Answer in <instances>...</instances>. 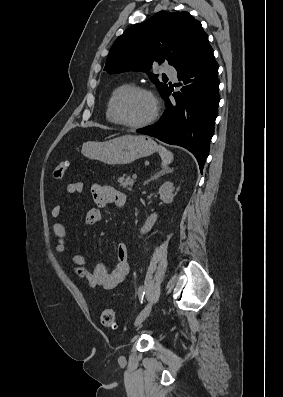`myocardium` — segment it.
Here are the masks:
<instances>
[{
    "mask_svg": "<svg viewBox=\"0 0 283 397\" xmlns=\"http://www.w3.org/2000/svg\"><path fill=\"white\" fill-rule=\"evenodd\" d=\"M135 93H144V94L148 95L153 102L154 109H153L152 114L144 121L138 122V123H131V122L125 121L123 119L122 114H121V104L124 99H126L128 96L135 94ZM113 111H114V115L117 120V123H119L122 126L128 127V128L139 129V128H143L145 126L150 125L152 122H154L156 120V118L159 115L160 104H159V101H158V98L156 97V95L149 88L144 87V86L135 85V86H131V87L127 88L126 90L122 91L119 95H117V97L114 100Z\"/></svg>",
    "mask_w": 283,
    "mask_h": 397,
    "instance_id": "f54148a6",
    "label": "myocardium"
}]
</instances>
